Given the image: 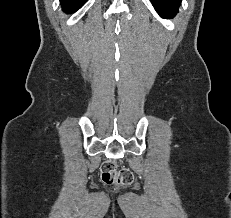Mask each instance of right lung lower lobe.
Instances as JSON below:
<instances>
[{"instance_id":"1","label":"right lung lower lobe","mask_w":231,"mask_h":218,"mask_svg":"<svg viewBox=\"0 0 231 218\" xmlns=\"http://www.w3.org/2000/svg\"><path fill=\"white\" fill-rule=\"evenodd\" d=\"M87 0H60L62 8L67 13L77 11Z\"/></svg>"}]
</instances>
